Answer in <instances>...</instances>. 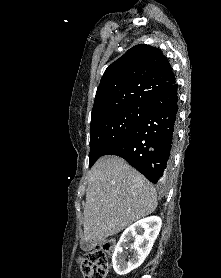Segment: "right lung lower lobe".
<instances>
[{"label": "right lung lower lobe", "instance_id": "obj_1", "mask_svg": "<svg viewBox=\"0 0 221 278\" xmlns=\"http://www.w3.org/2000/svg\"><path fill=\"white\" fill-rule=\"evenodd\" d=\"M146 103L148 112L140 122L101 156L113 154L124 158L156 184L166 178L170 167L178 111L177 84L152 94Z\"/></svg>", "mask_w": 221, "mask_h": 278}]
</instances>
